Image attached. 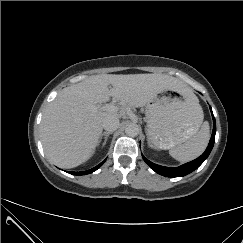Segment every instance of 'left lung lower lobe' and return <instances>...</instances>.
<instances>
[{
  "mask_svg": "<svg viewBox=\"0 0 243 243\" xmlns=\"http://www.w3.org/2000/svg\"><path fill=\"white\" fill-rule=\"evenodd\" d=\"M210 109H211V107H210ZM211 112H212V109H211ZM212 117H213V132H212V136H211L209 145H208L207 149L205 150V152L197 159H195L189 163H186L182 166L176 167V168L160 166V165L150 162L148 159L143 157L144 161L155 172H157L158 174L163 175L165 177H180V176H185V175L193 172L205 161V159H207V157L209 156V154L213 148L214 141H215V134H216V124H215V118L213 116V113H212Z\"/></svg>",
  "mask_w": 243,
  "mask_h": 243,
  "instance_id": "0a47b994",
  "label": "left lung lower lobe"
}]
</instances>
